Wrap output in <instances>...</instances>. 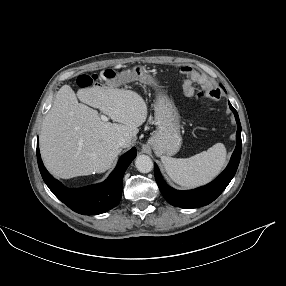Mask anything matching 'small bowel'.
Here are the masks:
<instances>
[{
    "instance_id": "1",
    "label": "small bowel",
    "mask_w": 286,
    "mask_h": 286,
    "mask_svg": "<svg viewBox=\"0 0 286 286\" xmlns=\"http://www.w3.org/2000/svg\"><path fill=\"white\" fill-rule=\"evenodd\" d=\"M182 73H184L187 77L189 82L186 83L184 91L187 96H192L194 93V88L191 85V82L200 83L203 85H208V81L204 75L201 73L196 72L191 67H184L182 70ZM202 92L208 94V99L215 100L219 96V90L207 88L203 90Z\"/></svg>"
}]
</instances>
